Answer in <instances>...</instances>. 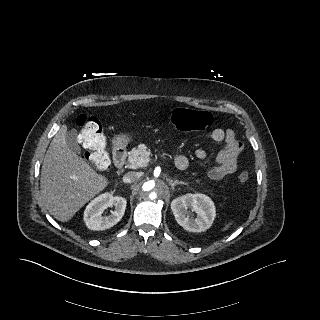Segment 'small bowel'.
I'll return each mask as SVG.
<instances>
[{
    "instance_id": "1",
    "label": "small bowel",
    "mask_w": 320,
    "mask_h": 320,
    "mask_svg": "<svg viewBox=\"0 0 320 320\" xmlns=\"http://www.w3.org/2000/svg\"><path fill=\"white\" fill-rule=\"evenodd\" d=\"M211 138L215 142H223L224 147L215 157V165L210 169L209 176L214 180H220L237 169L238 157L243 150V144L237 139L233 130L216 128L211 132ZM195 155L198 159H207V152L204 149H197ZM179 169H186L189 165L185 155H178L175 159Z\"/></svg>"
}]
</instances>
